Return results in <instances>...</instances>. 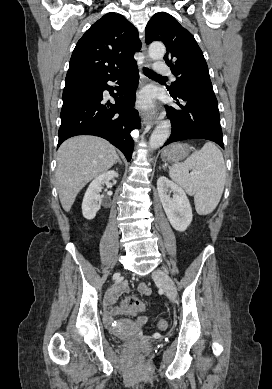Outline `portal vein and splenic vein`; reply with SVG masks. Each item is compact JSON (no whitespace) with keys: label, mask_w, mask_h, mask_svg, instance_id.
<instances>
[{"label":"portal vein and splenic vein","mask_w":272,"mask_h":389,"mask_svg":"<svg viewBox=\"0 0 272 389\" xmlns=\"http://www.w3.org/2000/svg\"><path fill=\"white\" fill-rule=\"evenodd\" d=\"M196 174V172H191V175L194 176Z\"/></svg>","instance_id":"1"}]
</instances>
